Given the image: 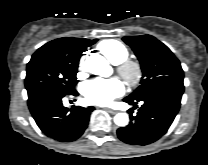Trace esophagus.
<instances>
[{
	"mask_svg": "<svg viewBox=\"0 0 208 165\" xmlns=\"http://www.w3.org/2000/svg\"><path fill=\"white\" fill-rule=\"evenodd\" d=\"M107 112L111 113V114H116L117 111L114 109H110V108H104Z\"/></svg>",
	"mask_w": 208,
	"mask_h": 165,
	"instance_id": "34e87169",
	"label": "esophagus"
}]
</instances>
